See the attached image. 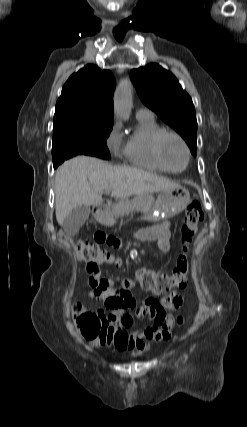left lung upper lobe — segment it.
Masks as SVG:
<instances>
[{"label": "left lung upper lobe", "mask_w": 247, "mask_h": 427, "mask_svg": "<svg viewBox=\"0 0 247 427\" xmlns=\"http://www.w3.org/2000/svg\"><path fill=\"white\" fill-rule=\"evenodd\" d=\"M142 102L188 143L191 153L197 152V120L190 96L176 77L155 63L133 69L130 74Z\"/></svg>", "instance_id": "obj_1"}]
</instances>
